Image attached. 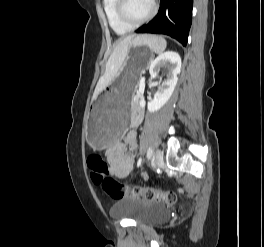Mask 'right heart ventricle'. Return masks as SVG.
<instances>
[{
    "label": "right heart ventricle",
    "instance_id": "1",
    "mask_svg": "<svg viewBox=\"0 0 264 247\" xmlns=\"http://www.w3.org/2000/svg\"><path fill=\"white\" fill-rule=\"evenodd\" d=\"M102 4L108 23L115 33L125 34L131 30V27L124 24L117 15V0H102Z\"/></svg>",
    "mask_w": 264,
    "mask_h": 247
}]
</instances>
